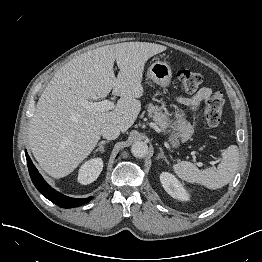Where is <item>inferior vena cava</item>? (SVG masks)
<instances>
[{
	"mask_svg": "<svg viewBox=\"0 0 262 262\" xmlns=\"http://www.w3.org/2000/svg\"><path fill=\"white\" fill-rule=\"evenodd\" d=\"M120 134V128L115 124H105L101 128V135L108 139H116Z\"/></svg>",
	"mask_w": 262,
	"mask_h": 262,
	"instance_id": "1",
	"label": "inferior vena cava"
}]
</instances>
